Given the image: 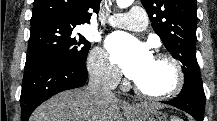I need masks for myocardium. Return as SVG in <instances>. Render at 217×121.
Masks as SVG:
<instances>
[{
  "label": "myocardium",
  "mask_w": 217,
  "mask_h": 121,
  "mask_svg": "<svg viewBox=\"0 0 217 121\" xmlns=\"http://www.w3.org/2000/svg\"><path fill=\"white\" fill-rule=\"evenodd\" d=\"M154 59L164 61L168 63L173 72V82L170 87L161 92H151L140 87L136 81L133 82L134 90L141 97L149 100H169L177 96L184 88L185 85V74L180 62L171 54L168 53H157L153 57Z\"/></svg>",
  "instance_id": "obj_1"
}]
</instances>
